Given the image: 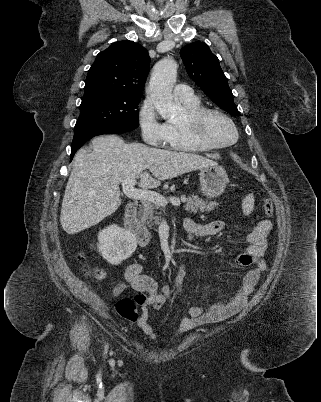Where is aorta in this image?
<instances>
[{
  "label": "aorta",
  "mask_w": 321,
  "mask_h": 402,
  "mask_svg": "<svg viewBox=\"0 0 321 402\" xmlns=\"http://www.w3.org/2000/svg\"><path fill=\"white\" fill-rule=\"evenodd\" d=\"M177 76V64L171 57L157 62L153 68L148 86V94L158 113L165 118H172L183 111L179 102L172 96L173 83Z\"/></svg>",
  "instance_id": "1"
}]
</instances>
